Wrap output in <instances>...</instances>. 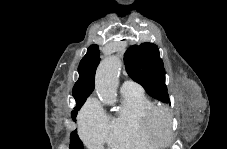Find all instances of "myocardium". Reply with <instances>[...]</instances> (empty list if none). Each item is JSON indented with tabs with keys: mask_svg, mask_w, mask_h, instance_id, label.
<instances>
[{
	"mask_svg": "<svg viewBox=\"0 0 227 149\" xmlns=\"http://www.w3.org/2000/svg\"><path fill=\"white\" fill-rule=\"evenodd\" d=\"M162 117L165 122V132L159 134L156 127V120ZM143 128L156 146H168L173 142L174 130L171 113L164 107L153 106L145 111L142 117Z\"/></svg>",
	"mask_w": 227,
	"mask_h": 149,
	"instance_id": "1",
	"label": "myocardium"
}]
</instances>
